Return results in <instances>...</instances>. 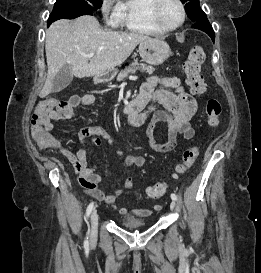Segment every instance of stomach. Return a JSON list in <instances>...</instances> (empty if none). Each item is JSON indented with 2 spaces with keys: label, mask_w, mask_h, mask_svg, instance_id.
Masks as SVG:
<instances>
[{
  "label": "stomach",
  "mask_w": 261,
  "mask_h": 273,
  "mask_svg": "<svg viewBox=\"0 0 261 273\" xmlns=\"http://www.w3.org/2000/svg\"><path fill=\"white\" fill-rule=\"evenodd\" d=\"M139 54L143 61L150 65H160L171 55L169 45L162 39L151 38L139 43ZM117 70L112 69L103 77H95V82H105L111 80Z\"/></svg>",
  "instance_id": "1"
}]
</instances>
